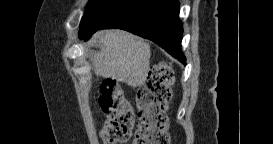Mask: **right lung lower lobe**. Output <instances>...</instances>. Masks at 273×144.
Here are the masks:
<instances>
[{
	"label": "right lung lower lobe",
	"instance_id": "obj_1",
	"mask_svg": "<svg viewBox=\"0 0 273 144\" xmlns=\"http://www.w3.org/2000/svg\"><path fill=\"white\" fill-rule=\"evenodd\" d=\"M120 28L152 40L183 64L178 0H116L98 17L87 40L99 29Z\"/></svg>",
	"mask_w": 273,
	"mask_h": 144
}]
</instances>
